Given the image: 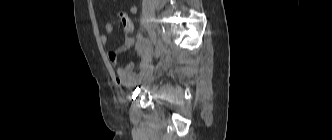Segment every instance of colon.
Returning a JSON list of instances; mask_svg holds the SVG:
<instances>
[{
  "instance_id": "obj_1",
  "label": "colon",
  "mask_w": 332,
  "mask_h": 140,
  "mask_svg": "<svg viewBox=\"0 0 332 140\" xmlns=\"http://www.w3.org/2000/svg\"><path fill=\"white\" fill-rule=\"evenodd\" d=\"M118 19L122 25L123 32L126 35L132 34V32L134 30V25H133L131 18L128 15H126L125 13H119Z\"/></svg>"
}]
</instances>
